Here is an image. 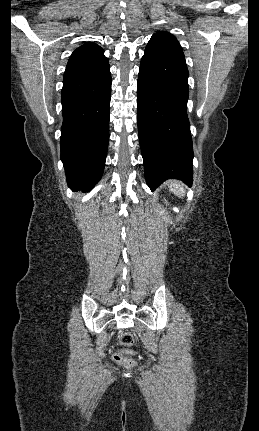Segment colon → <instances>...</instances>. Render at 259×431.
I'll return each mask as SVG.
<instances>
[{
  "label": "colon",
  "mask_w": 259,
  "mask_h": 431,
  "mask_svg": "<svg viewBox=\"0 0 259 431\" xmlns=\"http://www.w3.org/2000/svg\"><path fill=\"white\" fill-rule=\"evenodd\" d=\"M119 342L121 344V349L114 354L115 361L127 368L134 367L135 361L127 356L134 343L133 334L128 331L122 332L119 336Z\"/></svg>",
  "instance_id": "colon-1"
}]
</instances>
